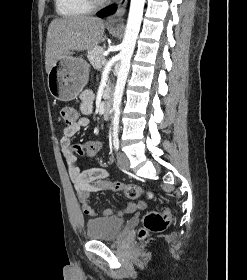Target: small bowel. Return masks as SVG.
Segmentation results:
<instances>
[{
  "mask_svg": "<svg viewBox=\"0 0 247 280\" xmlns=\"http://www.w3.org/2000/svg\"><path fill=\"white\" fill-rule=\"evenodd\" d=\"M81 111L83 116H81L73 125H67L64 128L63 136L61 138L62 151L65 156L67 163L69 164V171L74 183V188L80 205L82 206L83 212L89 216H96L97 212L90 205V195L94 192L107 190L106 188H94L92 186V181L94 179H109V173L101 168H92L85 171H80L76 165L77 157L74 154V150L71 147V139L78 133V131L87 127L90 124L88 114H90L92 109V104L94 100V94L91 90H85L82 92L81 96ZM96 174V176H93ZM90 181L91 185L87 186L86 182ZM145 204L139 202L138 204L129 203L122 210L119 211L121 215L130 213L137 208H143ZM102 215L109 217L113 215V210L109 207L102 210Z\"/></svg>",
  "mask_w": 247,
  "mask_h": 280,
  "instance_id": "small-bowel-1",
  "label": "small bowel"
}]
</instances>
